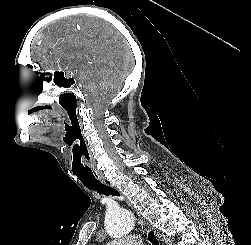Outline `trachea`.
Returning <instances> with one entry per match:
<instances>
[{"label":"trachea","instance_id":"trachea-1","mask_svg":"<svg viewBox=\"0 0 251 245\" xmlns=\"http://www.w3.org/2000/svg\"><path fill=\"white\" fill-rule=\"evenodd\" d=\"M84 185L88 189L94 190L99 194L118 196L117 191L99 181L94 183H85ZM148 239L153 245H159V241L157 240L155 234L152 231L149 232Z\"/></svg>","mask_w":251,"mask_h":245}]
</instances>
